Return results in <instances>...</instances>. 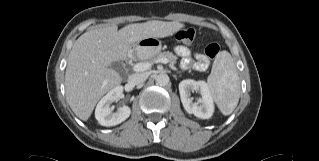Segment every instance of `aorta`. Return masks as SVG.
I'll use <instances>...</instances> for the list:
<instances>
[{"mask_svg":"<svg viewBox=\"0 0 319 161\" xmlns=\"http://www.w3.org/2000/svg\"><path fill=\"white\" fill-rule=\"evenodd\" d=\"M170 81L169 76L166 73H160L156 77V84L159 86H166Z\"/></svg>","mask_w":319,"mask_h":161,"instance_id":"1","label":"aorta"}]
</instances>
